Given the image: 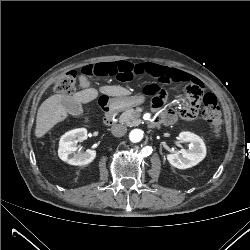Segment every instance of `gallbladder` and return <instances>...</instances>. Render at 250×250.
Here are the masks:
<instances>
[{
  "label": "gallbladder",
  "mask_w": 250,
  "mask_h": 250,
  "mask_svg": "<svg viewBox=\"0 0 250 250\" xmlns=\"http://www.w3.org/2000/svg\"><path fill=\"white\" fill-rule=\"evenodd\" d=\"M61 105L62 107L71 115L74 116H81L83 115V108L82 105L80 103H78L77 101L71 99V98H63L61 100Z\"/></svg>",
  "instance_id": "gallbladder-1"
}]
</instances>
